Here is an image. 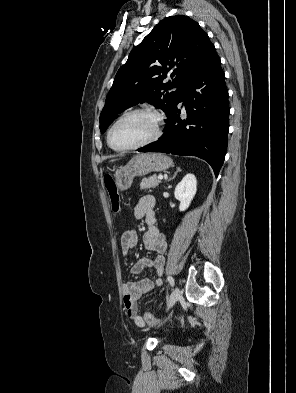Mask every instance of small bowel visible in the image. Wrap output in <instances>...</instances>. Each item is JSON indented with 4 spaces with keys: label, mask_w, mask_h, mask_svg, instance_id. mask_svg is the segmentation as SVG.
Here are the masks:
<instances>
[{
    "label": "small bowel",
    "mask_w": 296,
    "mask_h": 393,
    "mask_svg": "<svg viewBox=\"0 0 296 393\" xmlns=\"http://www.w3.org/2000/svg\"><path fill=\"white\" fill-rule=\"evenodd\" d=\"M154 198L152 196L142 197L137 205L134 207L133 215L137 219L144 218L148 229L142 237L145 248L149 251H154L157 256L154 259L142 257L131 268L133 274L140 273L145 268H153L155 272L154 279H141L138 281L126 282L122 286L123 290V304L126 309L128 318L133 321L137 326H144L145 321L142 316L138 314L137 301L143 294L151 291L155 286L162 284V274L164 270L165 258L164 253L167 250V241L163 233L160 232L155 225V211H154ZM138 236L135 230L128 229L123 232L121 236V249L125 256L137 246ZM152 305L149 309L154 308Z\"/></svg>",
    "instance_id": "obj_1"
}]
</instances>
